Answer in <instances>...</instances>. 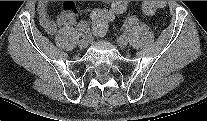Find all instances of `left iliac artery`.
Here are the masks:
<instances>
[{"label":"left iliac artery","mask_w":207,"mask_h":121,"mask_svg":"<svg viewBox=\"0 0 207 121\" xmlns=\"http://www.w3.org/2000/svg\"><path fill=\"white\" fill-rule=\"evenodd\" d=\"M137 16L136 15H131L129 18H127L125 21H124V24H123V32L124 33H129L130 30H131V26L134 22L137 21Z\"/></svg>","instance_id":"obj_1"}]
</instances>
